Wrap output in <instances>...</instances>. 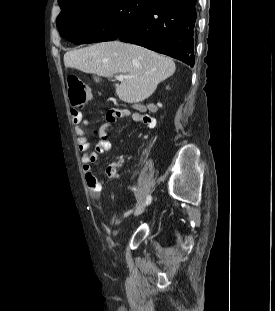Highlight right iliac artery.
Instances as JSON below:
<instances>
[{
  "mask_svg": "<svg viewBox=\"0 0 275 311\" xmlns=\"http://www.w3.org/2000/svg\"><path fill=\"white\" fill-rule=\"evenodd\" d=\"M151 200H152V197L150 195H148L147 198H146L145 205H149L151 203ZM131 212H132V210L128 211L126 213V215H129Z\"/></svg>",
  "mask_w": 275,
  "mask_h": 311,
  "instance_id": "right-iliac-artery-1",
  "label": "right iliac artery"
}]
</instances>
